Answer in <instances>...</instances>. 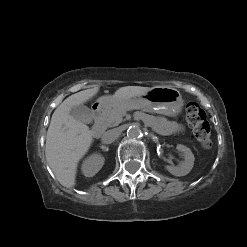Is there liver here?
<instances>
[{"instance_id":"obj_1","label":"liver","mask_w":247,"mask_h":247,"mask_svg":"<svg viewBox=\"0 0 247 247\" xmlns=\"http://www.w3.org/2000/svg\"><path fill=\"white\" fill-rule=\"evenodd\" d=\"M152 88L121 87L113 97L118 100H130L146 94ZM98 91L97 86L69 96L56 108L51 118L45 144L46 160L57 180L66 188L75 186L78 163L93 142V133L89 127L74 119L70 110L73 106L87 102Z\"/></svg>"}]
</instances>
